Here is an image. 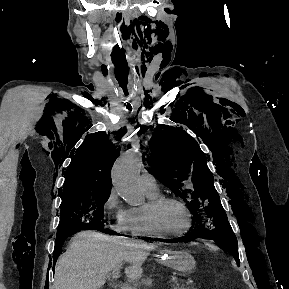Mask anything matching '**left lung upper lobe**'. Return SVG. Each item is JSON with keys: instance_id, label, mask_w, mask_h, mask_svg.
<instances>
[{"instance_id": "obj_1", "label": "left lung upper lobe", "mask_w": 289, "mask_h": 289, "mask_svg": "<svg viewBox=\"0 0 289 289\" xmlns=\"http://www.w3.org/2000/svg\"><path fill=\"white\" fill-rule=\"evenodd\" d=\"M162 128L157 127L153 133L146 154L150 173L187 203L195 219L189 233H210L239 263L237 239L227 222L204 153L184 130Z\"/></svg>"}]
</instances>
